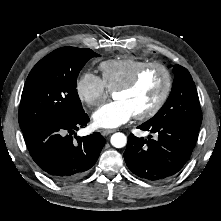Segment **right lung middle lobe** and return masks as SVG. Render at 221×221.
I'll use <instances>...</instances> for the list:
<instances>
[{
    "label": "right lung middle lobe",
    "instance_id": "right-lung-middle-lobe-1",
    "mask_svg": "<svg viewBox=\"0 0 221 221\" xmlns=\"http://www.w3.org/2000/svg\"><path fill=\"white\" fill-rule=\"evenodd\" d=\"M100 55L91 49L62 47L41 59L23 88L18 120L22 132L48 121H67L84 113L76 83L83 66Z\"/></svg>",
    "mask_w": 221,
    "mask_h": 221
}]
</instances>
